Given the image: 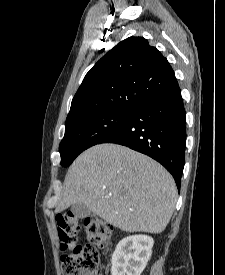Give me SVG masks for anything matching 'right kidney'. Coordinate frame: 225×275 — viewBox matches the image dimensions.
Listing matches in <instances>:
<instances>
[{
    "label": "right kidney",
    "instance_id": "1",
    "mask_svg": "<svg viewBox=\"0 0 225 275\" xmlns=\"http://www.w3.org/2000/svg\"><path fill=\"white\" fill-rule=\"evenodd\" d=\"M154 240L147 235L123 238L111 259V275H141L152 254Z\"/></svg>",
    "mask_w": 225,
    "mask_h": 275
}]
</instances>
